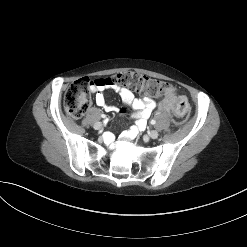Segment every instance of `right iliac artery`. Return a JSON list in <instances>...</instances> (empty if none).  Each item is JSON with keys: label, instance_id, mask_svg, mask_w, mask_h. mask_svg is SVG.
I'll return each instance as SVG.
<instances>
[{"label": "right iliac artery", "instance_id": "right-iliac-artery-1", "mask_svg": "<svg viewBox=\"0 0 247 247\" xmlns=\"http://www.w3.org/2000/svg\"><path fill=\"white\" fill-rule=\"evenodd\" d=\"M102 117H103V118H106V115L103 114Z\"/></svg>", "mask_w": 247, "mask_h": 247}]
</instances>
